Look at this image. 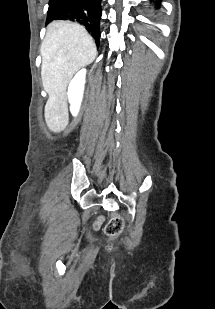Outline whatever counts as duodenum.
Instances as JSON below:
<instances>
[{"instance_id": "1", "label": "duodenum", "mask_w": 215, "mask_h": 309, "mask_svg": "<svg viewBox=\"0 0 215 309\" xmlns=\"http://www.w3.org/2000/svg\"><path fill=\"white\" fill-rule=\"evenodd\" d=\"M99 223H100V221H98V222L96 223V226H99Z\"/></svg>"}]
</instances>
